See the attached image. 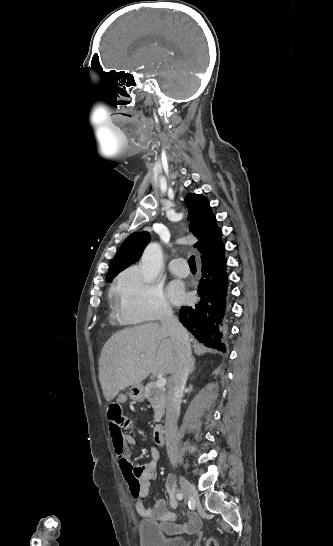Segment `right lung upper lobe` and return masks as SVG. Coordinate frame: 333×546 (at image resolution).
I'll return each mask as SVG.
<instances>
[{
  "label": "right lung upper lobe",
  "instance_id": "1",
  "mask_svg": "<svg viewBox=\"0 0 333 546\" xmlns=\"http://www.w3.org/2000/svg\"><path fill=\"white\" fill-rule=\"evenodd\" d=\"M190 231L199 239L194 245L201 253V259H208L222 243V232L216 224L209 201L200 194L186 196ZM148 232H135L125 239L110 263L109 273L121 272L139 260L150 242ZM107 274V275H108Z\"/></svg>",
  "mask_w": 333,
  "mask_h": 546
}]
</instances>
